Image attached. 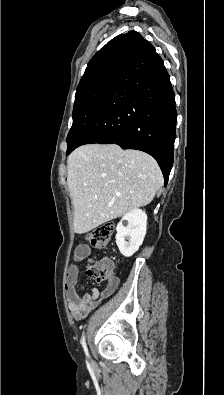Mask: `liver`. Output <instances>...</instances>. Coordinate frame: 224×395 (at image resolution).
<instances>
[{
  "label": "liver",
  "instance_id": "1",
  "mask_svg": "<svg viewBox=\"0 0 224 395\" xmlns=\"http://www.w3.org/2000/svg\"><path fill=\"white\" fill-rule=\"evenodd\" d=\"M67 166L77 234L148 205L163 185L153 157L115 144L81 146L69 155Z\"/></svg>",
  "mask_w": 224,
  "mask_h": 395
}]
</instances>
